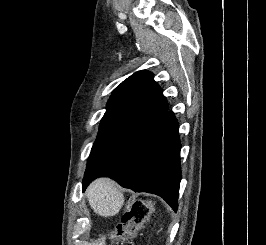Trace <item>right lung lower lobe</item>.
<instances>
[{
    "mask_svg": "<svg viewBox=\"0 0 266 245\" xmlns=\"http://www.w3.org/2000/svg\"><path fill=\"white\" fill-rule=\"evenodd\" d=\"M178 126L168 110L144 121L85 171L83 191L95 178L107 176L135 192L162 197L176 211L181 180Z\"/></svg>",
    "mask_w": 266,
    "mask_h": 245,
    "instance_id": "1",
    "label": "right lung lower lobe"
}]
</instances>
